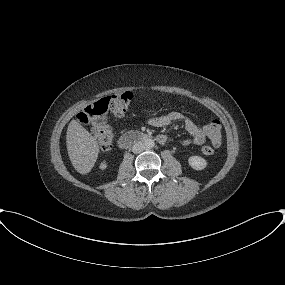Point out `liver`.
<instances>
[{
    "label": "liver",
    "mask_w": 285,
    "mask_h": 285,
    "mask_svg": "<svg viewBox=\"0 0 285 285\" xmlns=\"http://www.w3.org/2000/svg\"><path fill=\"white\" fill-rule=\"evenodd\" d=\"M68 156L75 170L87 174L93 168L99 154L95 138L76 120H71L66 135Z\"/></svg>",
    "instance_id": "1"
}]
</instances>
